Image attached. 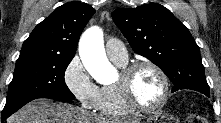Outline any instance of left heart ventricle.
I'll return each mask as SVG.
<instances>
[{"label":"left heart ventricle","mask_w":221,"mask_h":123,"mask_svg":"<svg viewBox=\"0 0 221 123\" xmlns=\"http://www.w3.org/2000/svg\"><path fill=\"white\" fill-rule=\"evenodd\" d=\"M120 80V77L118 81ZM131 90L135 99L142 105H154L161 97L162 82L151 68L138 70L131 79Z\"/></svg>","instance_id":"1"}]
</instances>
